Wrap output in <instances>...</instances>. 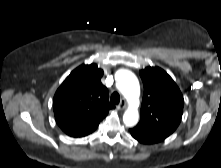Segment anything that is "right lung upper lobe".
Segmentation results:
<instances>
[{
	"label": "right lung upper lobe",
	"mask_w": 221,
	"mask_h": 168,
	"mask_svg": "<svg viewBox=\"0 0 221 168\" xmlns=\"http://www.w3.org/2000/svg\"><path fill=\"white\" fill-rule=\"evenodd\" d=\"M102 75L96 64H83L57 89L53 99L54 115L67 135L82 137L92 133L109 110L115 108L101 83Z\"/></svg>",
	"instance_id": "1"
}]
</instances>
